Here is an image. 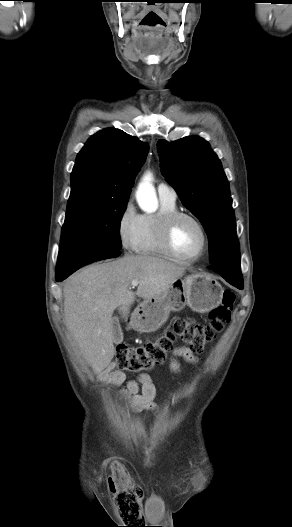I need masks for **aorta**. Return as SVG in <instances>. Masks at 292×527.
I'll return each mask as SVG.
<instances>
[{"label":"aorta","mask_w":292,"mask_h":527,"mask_svg":"<svg viewBox=\"0 0 292 527\" xmlns=\"http://www.w3.org/2000/svg\"><path fill=\"white\" fill-rule=\"evenodd\" d=\"M152 181V173H146L138 186V191L136 194L139 206L146 212L155 211L158 204Z\"/></svg>","instance_id":"obj_1"}]
</instances>
